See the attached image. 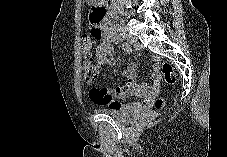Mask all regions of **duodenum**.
I'll return each mask as SVG.
<instances>
[{
  "label": "duodenum",
  "instance_id": "duodenum-1",
  "mask_svg": "<svg viewBox=\"0 0 227 157\" xmlns=\"http://www.w3.org/2000/svg\"><path fill=\"white\" fill-rule=\"evenodd\" d=\"M111 7V0H99L97 4H93L92 8L96 10L98 16H88V21L92 27V32L112 33L111 26L107 22V14Z\"/></svg>",
  "mask_w": 227,
  "mask_h": 157
}]
</instances>
